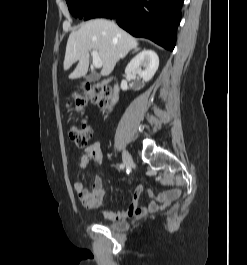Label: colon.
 Returning a JSON list of instances; mask_svg holds the SVG:
<instances>
[{
  "label": "colon",
  "instance_id": "1",
  "mask_svg": "<svg viewBox=\"0 0 247 265\" xmlns=\"http://www.w3.org/2000/svg\"><path fill=\"white\" fill-rule=\"evenodd\" d=\"M111 92L105 87L88 88L82 93L73 95L71 109L82 113L88 101L99 104L100 106H109ZM70 139L78 148H85L92 136L91 127L85 122L72 123L68 130Z\"/></svg>",
  "mask_w": 247,
  "mask_h": 265
}]
</instances>
